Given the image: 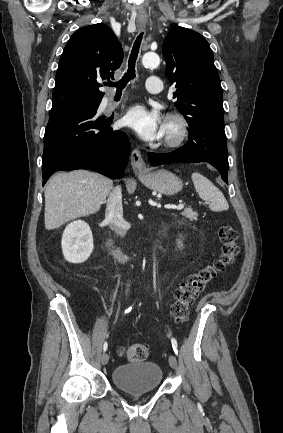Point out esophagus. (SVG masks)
Returning a JSON list of instances; mask_svg holds the SVG:
<instances>
[{"mask_svg": "<svg viewBox=\"0 0 283 433\" xmlns=\"http://www.w3.org/2000/svg\"><path fill=\"white\" fill-rule=\"evenodd\" d=\"M139 27H144L145 23H140ZM131 166L134 172L143 173L147 172L146 163L144 162L139 150H133L131 153Z\"/></svg>", "mask_w": 283, "mask_h": 433, "instance_id": "obj_1", "label": "esophagus"}]
</instances>
